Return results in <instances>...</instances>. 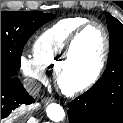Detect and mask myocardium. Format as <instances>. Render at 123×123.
I'll return each instance as SVG.
<instances>
[{
    "mask_svg": "<svg viewBox=\"0 0 123 123\" xmlns=\"http://www.w3.org/2000/svg\"><path fill=\"white\" fill-rule=\"evenodd\" d=\"M93 25L98 26L103 35L104 44H103V50L101 56L98 60L96 69L94 70L93 74L89 78L78 83H71L67 81L66 76H67V70L69 64L72 59V54L76 41L89 27ZM109 50H110L109 34L107 32L106 27L102 23L94 20H89L88 22L80 26L69 38L63 53V57L60 63L58 64V66L56 67V69L54 70V78L58 88L67 95H76L87 91L101 77L108 59Z\"/></svg>",
    "mask_w": 123,
    "mask_h": 123,
    "instance_id": "f54148a6",
    "label": "myocardium"
}]
</instances>
